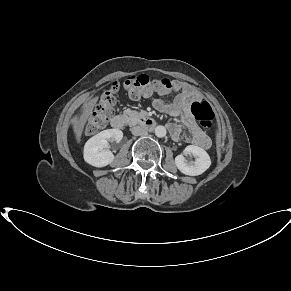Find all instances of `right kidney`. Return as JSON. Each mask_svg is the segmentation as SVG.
<instances>
[{
  "instance_id": "1",
  "label": "right kidney",
  "mask_w": 291,
  "mask_h": 291,
  "mask_svg": "<svg viewBox=\"0 0 291 291\" xmlns=\"http://www.w3.org/2000/svg\"><path fill=\"white\" fill-rule=\"evenodd\" d=\"M123 132L119 129H107L91 137L84 146V160L94 167H105L114 160L113 153L108 149V140L120 142Z\"/></svg>"
}]
</instances>
